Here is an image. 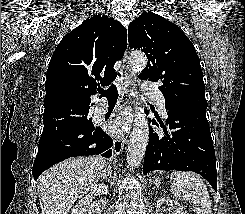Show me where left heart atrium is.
<instances>
[{"instance_id":"obj_1","label":"left heart atrium","mask_w":245,"mask_h":214,"mask_svg":"<svg viewBox=\"0 0 245 214\" xmlns=\"http://www.w3.org/2000/svg\"><path fill=\"white\" fill-rule=\"evenodd\" d=\"M125 124H126V120H125V119H122V120H120L119 122L114 123V124L110 127V129H111V131L115 132V131H118L121 127H124Z\"/></svg>"}]
</instances>
